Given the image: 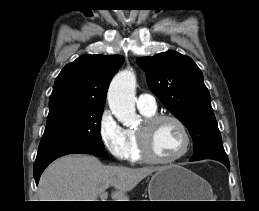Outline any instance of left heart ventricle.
<instances>
[{"instance_id":"obj_1","label":"left heart ventricle","mask_w":259,"mask_h":211,"mask_svg":"<svg viewBox=\"0 0 259 211\" xmlns=\"http://www.w3.org/2000/svg\"><path fill=\"white\" fill-rule=\"evenodd\" d=\"M149 143L156 157L171 158L182 150L184 138L179 127L166 120L149 130Z\"/></svg>"}]
</instances>
